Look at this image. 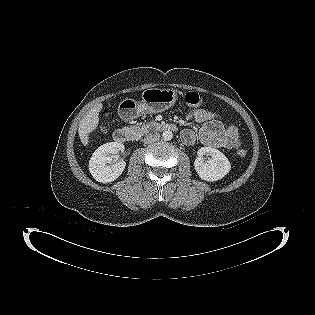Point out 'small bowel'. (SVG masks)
Wrapping results in <instances>:
<instances>
[{
    "label": "small bowel",
    "mask_w": 315,
    "mask_h": 315,
    "mask_svg": "<svg viewBox=\"0 0 315 315\" xmlns=\"http://www.w3.org/2000/svg\"><path fill=\"white\" fill-rule=\"evenodd\" d=\"M187 118L202 127L196 133L192 129L182 132V140L186 145H193L196 140L210 147L235 149L240 145V136L237 127L228 123L219 112L197 108L188 113Z\"/></svg>",
    "instance_id": "obj_1"
}]
</instances>
